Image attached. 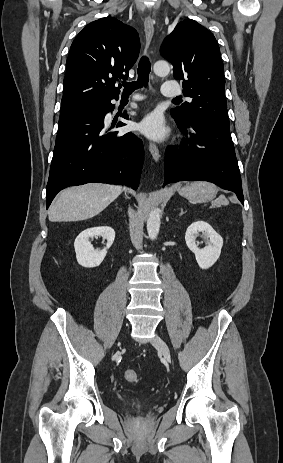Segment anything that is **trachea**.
Listing matches in <instances>:
<instances>
[{"instance_id":"3493384b","label":"trachea","mask_w":283,"mask_h":463,"mask_svg":"<svg viewBox=\"0 0 283 463\" xmlns=\"http://www.w3.org/2000/svg\"><path fill=\"white\" fill-rule=\"evenodd\" d=\"M151 71V65L146 56H143L138 65V79L137 81L133 82H123L124 86V94H130L134 92L136 89L147 87L149 81V73ZM174 100H179V98H175Z\"/></svg>"}]
</instances>
